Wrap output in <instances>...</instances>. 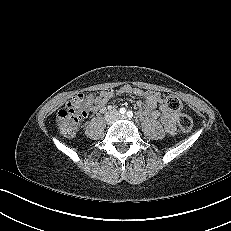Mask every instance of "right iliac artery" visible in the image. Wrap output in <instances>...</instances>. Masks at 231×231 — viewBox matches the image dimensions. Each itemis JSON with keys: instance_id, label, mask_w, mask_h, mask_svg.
<instances>
[{"instance_id": "right-iliac-artery-1", "label": "right iliac artery", "mask_w": 231, "mask_h": 231, "mask_svg": "<svg viewBox=\"0 0 231 231\" xmlns=\"http://www.w3.org/2000/svg\"><path fill=\"white\" fill-rule=\"evenodd\" d=\"M125 112H126L125 108H121V109H120V113H121V114H124Z\"/></svg>"}]
</instances>
